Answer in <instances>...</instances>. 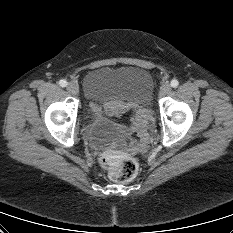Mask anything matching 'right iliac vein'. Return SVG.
Returning a JSON list of instances; mask_svg holds the SVG:
<instances>
[{
    "label": "right iliac vein",
    "mask_w": 233,
    "mask_h": 233,
    "mask_svg": "<svg viewBox=\"0 0 233 233\" xmlns=\"http://www.w3.org/2000/svg\"><path fill=\"white\" fill-rule=\"evenodd\" d=\"M67 90H68L71 94L76 95V94H78V92H79V87H78V85H77L76 83L70 82V83H68V85H67Z\"/></svg>",
    "instance_id": "63e3f726"
}]
</instances>
